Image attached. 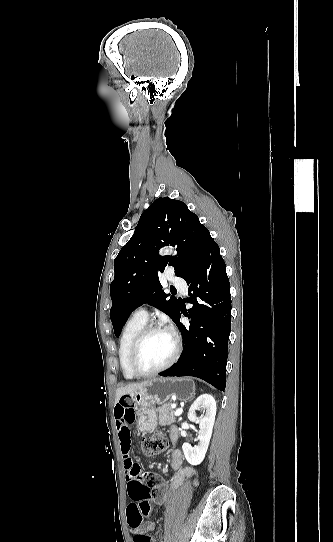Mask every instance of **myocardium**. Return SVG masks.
<instances>
[{
  "instance_id": "1",
  "label": "myocardium",
  "mask_w": 333,
  "mask_h": 542,
  "mask_svg": "<svg viewBox=\"0 0 333 542\" xmlns=\"http://www.w3.org/2000/svg\"><path fill=\"white\" fill-rule=\"evenodd\" d=\"M160 330H165V331L169 332L166 328H164L160 324H148V325H145V327L139 332V334L137 335V337L133 341V343H132V345L130 347V350H129L128 364H129L130 371L132 372V374L134 376H137V377H152V376H155L158 373H160V372L166 370L167 368H169L171 365H173L177 361V359H178V357L180 355V350H181L180 339H179L177 334L169 332L172 335V338H173V350H172V353H171L170 357L168 358V360L165 363H163L160 367L156 368L155 370L149 371V372H144V371H141V370L138 369V367L136 365V358H137V354H138V352L140 350V347L142 346L143 342L146 340V338L150 334H152L153 332H156V331H160Z\"/></svg>"
}]
</instances>
